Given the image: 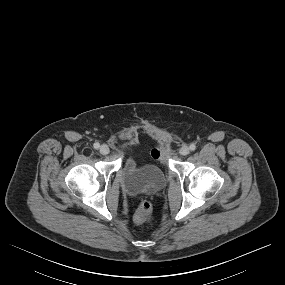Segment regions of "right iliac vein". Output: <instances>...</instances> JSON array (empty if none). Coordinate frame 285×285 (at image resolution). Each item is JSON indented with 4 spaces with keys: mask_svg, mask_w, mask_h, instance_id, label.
I'll return each instance as SVG.
<instances>
[{
    "mask_svg": "<svg viewBox=\"0 0 285 285\" xmlns=\"http://www.w3.org/2000/svg\"><path fill=\"white\" fill-rule=\"evenodd\" d=\"M109 147L106 145V144H103L100 146L99 148V152L102 154V155H107L109 153Z\"/></svg>",
    "mask_w": 285,
    "mask_h": 285,
    "instance_id": "1",
    "label": "right iliac vein"
}]
</instances>
